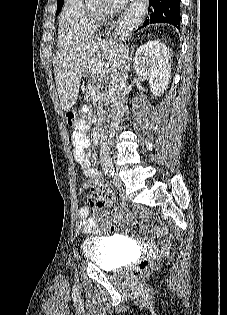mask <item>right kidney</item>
<instances>
[{
  "label": "right kidney",
  "instance_id": "1",
  "mask_svg": "<svg viewBox=\"0 0 227 315\" xmlns=\"http://www.w3.org/2000/svg\"><path fill=\"white\" fill-rule=\"evenodd\" d=\"M133 61L136 74L149 81L155 97L161 96L171 78L170 53L167 46L158 40L148 41L139 47Z\"/></svg>",
  "mask_w": 227,
  "mask_h": 315
}]
</instances>
